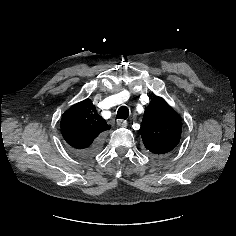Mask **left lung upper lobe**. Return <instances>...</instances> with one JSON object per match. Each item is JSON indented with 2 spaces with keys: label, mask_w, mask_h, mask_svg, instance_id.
<instances>
[{
  "label": "left lung upper lobe",
  "mask_w": 236,
  "mask_h": 236,
  "mask_svg": "<svg viewBox=\"0 0 236 236\" xmlns=\"http://www.w3.org/2000/svg\"><path fill=\"white\" fill-rule=\"evenodd\" d=\"M182 132L181 118L161 97L151 100L145 109L140 134L148 153L165 156L179 143Z\"/></svg>",
  "instance_id": "left-lung-upper-lobe-1"
}]
</instances>
